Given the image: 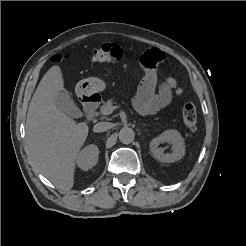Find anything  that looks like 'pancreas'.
Instances as JSON below:
<instances>
[{
    "label": "pancreas",
    "instance_id": "obj_1",
    "mask_svg": "<svg viewBox=\"0 0 246 246\" xmlns=\"http://www.w3.org/2000/svg\"><path fill=\"white\" fill-rule=\"evenodd\" d=\"M113 100L111 99V100H108V101H106V102H103V105L100 107V112L102 113L103 112V110L106 108V107H108V106H113Z\"/></svg>",
    "mask_w": 246,
    "mask_h": 246
}]
</instances>
